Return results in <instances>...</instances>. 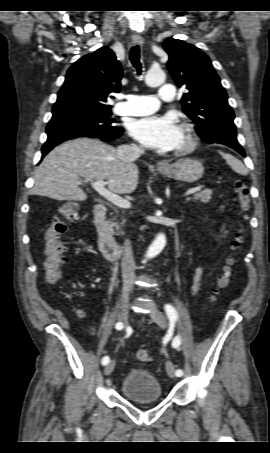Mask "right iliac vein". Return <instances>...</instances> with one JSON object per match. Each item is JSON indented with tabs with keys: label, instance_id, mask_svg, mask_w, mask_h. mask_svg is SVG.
<instances>
[{
	"label": "right iliac vein",
	"instance_id": "1",
	"mask_svg": "<svg viewBox=\"0 0 270 453\" xmlns=\"http://www.w3.org/2000/svg\"><path fill=\"white\" fill-rule=\"evenodd\" d=\"M131 292V288L128 284L123 287L122 296L119 306V317L120 320L124 322L125 325L128 324V302H129V295ZM115 368V361H111L109 364L106 365L104 368V374L106 376L110 375Z\"/></svg>",
	"mask_w": 270,
	"mask_h": 453
}]
</instances>
